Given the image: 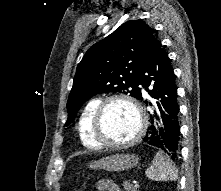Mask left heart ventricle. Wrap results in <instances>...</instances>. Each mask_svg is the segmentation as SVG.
I'll use <instances>...</instances> for the list:
<instances>
[{"mask_svg": "<svg viewBox=\"0 0 221 191\" xmlns=\"http://www.w3.org/2000/svg\"><path fill=\"white\" fill-rule=\"evenodd\" d=\"M139 127L135 109L124 101L110 103L104 116V130L107 140L125 142L131 139Z\"/></svg>", "mask_w": 221, "mask_h": 191, "instance_id": "left-heart-ventricle-1", "label": "left heart ventricle"}]
</instances>
